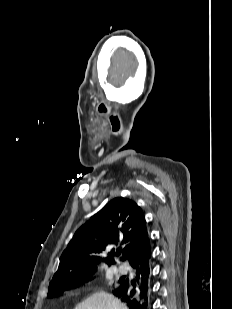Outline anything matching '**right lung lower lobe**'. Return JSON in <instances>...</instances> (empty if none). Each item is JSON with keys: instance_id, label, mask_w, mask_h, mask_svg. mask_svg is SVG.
I'll return each instance as SVG.
<instances>
[{"instance_id": "obj_1", "label": "right lung lower lobe", "mask_w": 232, "mask_h": 309, "mask_svg": "<svg viewBox=\"0 0 232 309\" xmlns=\"http://www.w3.org/2000/svg\"><path fill=\"white\" fill-rule=\"evenodd\" d=\"M151 255L131 264L134 275L123 277L113 294L127 303L130 309H150L151 304Z\"/></svg>"}]
</instances>
